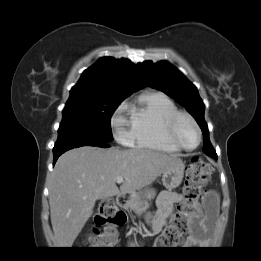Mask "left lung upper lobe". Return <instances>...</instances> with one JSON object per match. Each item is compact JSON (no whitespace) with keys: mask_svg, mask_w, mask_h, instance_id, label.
I'll list each match as a JSON object with an SVG mask.
<instances>
[{"mask_svg":"<svg viewBox=\"0 0 261 261\" xmlns=\"http://www.w3.org/2000/svg\"><path fill=\"white\" fill-rule=\"evenodd\" d=\"M137 66L144 82L148 86L161 90L175 99L195 118L203 132L204 153L217 160V154L210 143L208 127L204 120L205 106L197 88L177 68L168 62L161 61L153 64L150 61H145Z\"/></svg>","mask_w":261,"mask_h":261,"instance_id":"left-lung-upper-lobe-1","label":"left lung upper lobe"}]
</instances>
